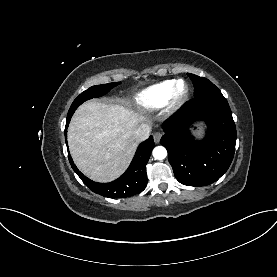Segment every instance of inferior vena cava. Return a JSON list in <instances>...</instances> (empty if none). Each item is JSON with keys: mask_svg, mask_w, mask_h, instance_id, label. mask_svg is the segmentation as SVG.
<instances>
[{"mask_svg": "<svg viewBox=\"0 0 277 277\" xmlns=\"http://www.w3.org/2000/svg\"><path fill=\"white\" fill-rule=\"evenodd\" d=\"M150 134V127L147 124H142L133 132V138L137 142L146 140Z\"/></svg>", "mask_w": 277, "mask_h": 277, "instance_id": "1", "label": "inferior vena cava"}]
</instances>
